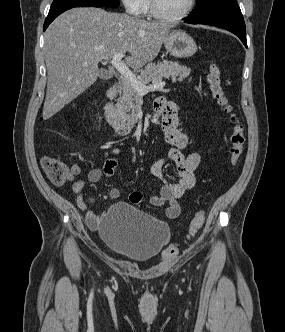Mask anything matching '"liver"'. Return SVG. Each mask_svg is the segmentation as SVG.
Masks as SVG:
<instances>
[{"label": "liver", "instance_id": "obj_1", "mask_svg": "<svg viewBox=\"0 0 285 332\" xmlns=\"http://www.w3.org/2000/svg\"><path fill=\"white\" fill-rule=\"evenodd\" d=\"M171 26L94 7L70 9L45 33L47 92L43 119L69 104L99 76L98 63L126 53V64L139 69L158 55Z\"/></svg>", "mask_w": 285, "mask_h": 332}]
</instances>
